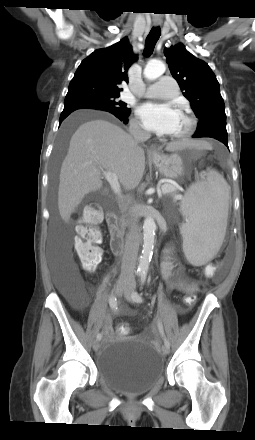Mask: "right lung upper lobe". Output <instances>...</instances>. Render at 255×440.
Wrapping results in <instances>:
<instances>
[{
	"mask_svg": "<svg viewBox=\"0 0 255 440\" xmlns=\"http://www.w3.org/2000/svg\"><path fill=\"white\" fill-rule=\"evenodd\" d=\"M136 59L127 37L94 51L76 70L66 98L90 93L120 94L118 85L128 82L127 71Z\"/></svg>",
	"mask_w": 255,
	"mask_h": 440,
	"instance_id": "cb5924a9",
	"label": "right lung upper lobe"
}]
</instances>
